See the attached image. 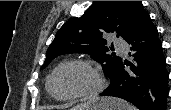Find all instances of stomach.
<instances>
[{"label":"stomach","instance_id":"obj_1","mask_svg":"<svg viewBox=\"0 0 171 110\" xmlns=\"http://www.w3.org/2000/svg\"><path fill=\"white\" fill-rule=\"evenodd\" d=\"M105 99L109 101H115V104L106 106L102 102L103 99H101L100 101L93 102L87 105L75 106L70 110H125L122 107H119V103H123V101L116 100V99H109V98H105Z\"/></svg>","mask_w":171,"mask_h":110}]
</instances>
